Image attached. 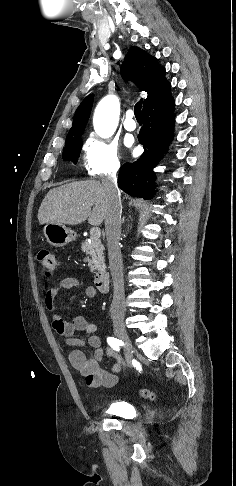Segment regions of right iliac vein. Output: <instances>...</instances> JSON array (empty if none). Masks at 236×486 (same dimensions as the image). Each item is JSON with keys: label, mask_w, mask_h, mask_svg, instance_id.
Here are the masks:
<instances>
[{"label": "right iliac vein", "mask_w": 236, "mask_h": 486, "mask_svg": "<svg viewBox=\"0 0 236 486\" xmlns=\"http://www.w3.org/2000/svg\"><path fill=\"white\" fill-rule=\"evenodd\" d=\"M113 327L117 338L124 343L127 360L130 362V360L133 357L134 349L131 340L128 336V333L126 331L124 322L120 319H115L113 321Z\"/></svg>", "instance_id": "right-iliac-vein-1"}]
</instances>
